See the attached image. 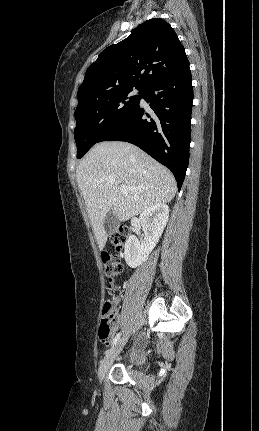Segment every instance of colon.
<instances>
[{"mask_svg":"<svg viewBox=\"0 0 259 431\" xmlns=\"http://www.w3.org/2000/svg\"><path fill=\"white\" fill-rule=\"evenodd\" d=\"M129 229L120 227L111 235V241L117 252H122L125 248ZM101 261L104 268L105 276L108 280L110 289L115 288V279L123 272V265L118 255L108 251L101 252ZM118 318L115 313V304L113 301H106L102 308V320L99 326L98 334L102 342L107 344L110 340L113 330L117 326Z\"/></svg>","mask_w":259,"mask_h":431,"instance_id":"colon-1","label":"colon"}]
</instances>
